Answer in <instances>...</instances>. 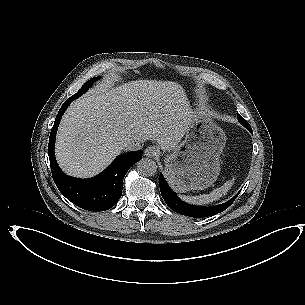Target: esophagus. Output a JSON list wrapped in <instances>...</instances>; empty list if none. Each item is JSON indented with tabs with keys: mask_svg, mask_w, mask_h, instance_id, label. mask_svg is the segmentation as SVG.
Returning a JSON list of instances; mask_svg holds the SVG:
<instances>
[{
	"mask_svg": "<svg viewBox=\"0 0 305 305\" xmlns=\"http://www.w3.org/2000/svg\"><path fill=\"white\" fill-rule=\"evenodd\" d=\"M160 154V151L157 147L155 146H149L147 147L145 150H144V155L146 157H149V158H155V157H158Z\"/></svg>",
	"mask_w": 305,
	"mask_h": 305,
	"instance_id": "obj_1",
	"label": "esophagus"
}]
</instances>
